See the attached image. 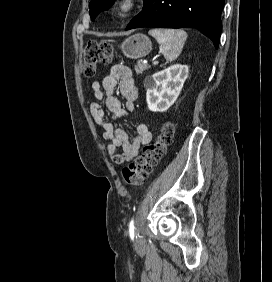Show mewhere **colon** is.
Returning <instances> with one entry per match:
<instances>
[{"instance_id":"5ec220e1","label":"colon","mask_w":272,"mask_h":282,"mask_svg":"<svg viewBox=\"0 0 272 282\" xmlns=\"http://www.w3.org/2000/svg\"><path fill=\"white\" fill-rule=\"evenodd\" d=\"M112 48L106 42L89 41L83 56L84 75L93 78L97 64H107L112 61ZM174 129L172 124L162 126L156 140L144 147L143 153L122 171L124 182L127 185H141L152 173L159 161L164 157L167 147L173 140Z\"/></svg>"}]
</instances>
